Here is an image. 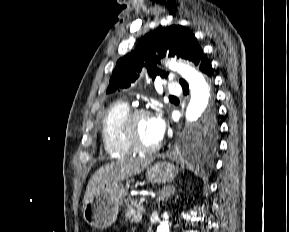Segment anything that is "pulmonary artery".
<instances>
[{"instance_id": "obj_1", "label": "pulmonary artery", "mask_w": 289, "mask_h": 232, "mask_svg": "<svg viewBox=\"0 0 289 232\" xmlns=\"http://www.w3.org/2000/svg\"><path fill=\"white\" fill-rule=\"evenodd\" d=\"M167 89L170 94H180L182 91L180 84L175 81H170L168 83Z\"/></svg>"}]
</instances>
